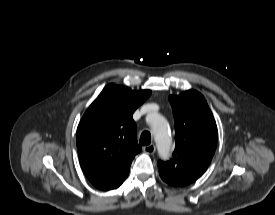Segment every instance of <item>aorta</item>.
I'll list each match as a JSON object with an SVG mask.
<instances>
[{"label": "aorta", "instance_id": "1", "mask_svg": "<svg viewBox=\"0 0 275 215\" xmlns=\"http://www.w3.org/2000/svg\"><path fill=\"white\" fill-rule=\"evenodd\" d=\"M150 124L158 153L162 159L166 160L172 150V138L168 123L163 116L153 114L150 117Z\"/></svg>", "mask_w": 275, "mask_h": 215}]
</instances>
